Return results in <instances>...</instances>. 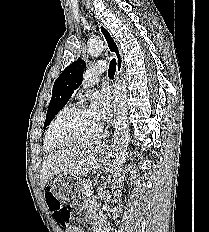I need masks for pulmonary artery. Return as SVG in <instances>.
Masks as SVG:
<instances>
[{
  "mask_svg": "<svg viewBox=\"0 0 209 232\" xmlns=\"http://www.w3.org/2000/svg\"><path fill=\"white\" fill-rule=\"evenodd\" d=\"M107 69L108 66L105 61H99L91 65L84 74L82 89L77 91V95H80L83 89H86L97 83L99 81L100 75L106 72Z\"/></svg>",
  "mask_w": 209,
  "mask_h": 232,
  "instance_id": "e3ab8cb5",
  "label": "pulmonary artery"
}]
</instances>
